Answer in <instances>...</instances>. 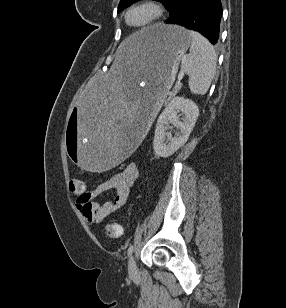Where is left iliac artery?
<instances>
[{
	"label": "left iliac artery",
	"mask_w": 286,
	"mask_h": 308,
	"mask_svg": "<svg viewBox=\"0 0 286 308\" xmlns=\"http://www.w3.org/2000/svg\"><path fill=\"white\" fill-rule=\"evenodd\" d=\"M133 250H134V246L131 245V246L128 248V256H130V255L132 254Z\"/></svg>",
	"instance_id": "1"
}]
</instances>
